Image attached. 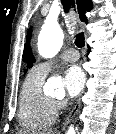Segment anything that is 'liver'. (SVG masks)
Returning a JSON list of instances; mask_svg holds the SVG:
<instances>
[{
    "label": "liver",
    "instance_id": "1",
    "mask_svg": "<svg viewBox=\"0 0 116 134\" xmlns=\"http://www.w3.org/2000/svg\"><path fill=\"white\" fill-rule=\"evenodd\" d=\"M19 134H24V133H19ZM47 134H52V132L50 131V132H47Z\"/></svg>",
    "mask_w": 116,
    "mask_h": 134
}]
</instances>
